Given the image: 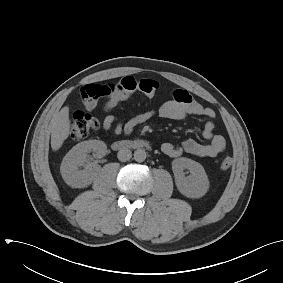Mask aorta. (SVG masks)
<instances>
[{"label": "aorta", "instance_id": "aorta-1", "mask_svg": "<svg viewBox=\"0 0 283 283\" xmlns=\"http://www.w3.org/2000/svg\"><path fill=\"white\" fill-rule=\"evenodd\" d=\"M146 156H147V154H146L145 150H143V149H137L134 152V160L137 161V162L145 161Z\"/></svg>", "mask_w": 283, "mask_h": 283}]
</instances>
